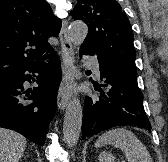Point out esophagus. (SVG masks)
I'll return each mask as SVG.
<instances>
[{
  "label": "esophagus",
  "instance_id": "34e87169",
  "mask_svg": "<svg viewBox=\"0 0 168 162\" xmlns=\"http://www.w3.org/2000/svg\"><path fill=\"white\" fill-rule=\"evenodd\" d=\"M61 43V59L64 66V74L59 87L57 104L58 108L63 111L70 100V92L75 80L76 68L74 62V50L68 36V22H62V28L59 34Z\"/></svg>",
  "mask_w": 168,
  "mask_h": 162
}]
</instances>
